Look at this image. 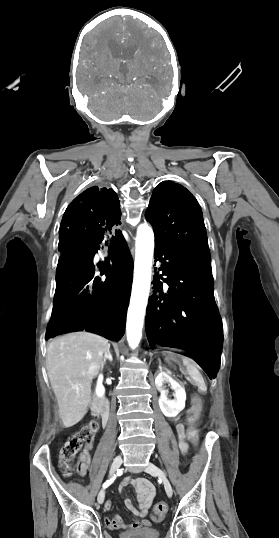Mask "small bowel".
Instances as JSON below:
<instances>
[{"label": "small bowel", "mask_w": 279, "mask_h": 538, "mask_svg": "<svg viewBox=\"0 0 279 538\" xmlns=\"http://www.w3.org/2000/svg\"><path fill=\"white\" fill-rule=\"evenodd\" d=\"M176 432L179 439V447L185 454L188 450V445L185 442V429L184 426L179 424L176 426ZM92 446L87 445L79 457L80 473L84 474L90 463V451ZM131 485L134 487L137 499L139 502V508H135L130 499L125 500L127 509L135 516V519L130 525L125 524L120 515H114L113 517L105 518V524L112 530L129 528L130 530H142L149 527L150 522L145 519L148 509L153 503L155 497V488L153 484L145 478H132L131 476L124 477L119 486L118 491L121 492L124 487ZM112 507V501L107 500L104 505L105 510H110Z\"/></svg>", "instance_id": "obj_1"}]
</instances>
